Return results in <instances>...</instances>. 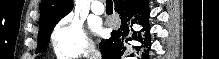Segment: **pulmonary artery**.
I'll return each instance as SVG.
<instances>
[{"instance_id": "obj_1", "label": "pulmonary artery", "mask_w": 219, "mask_h": 59, "mask_svg": "<svg viewBox=\"0 0 219 59\" xmlns=\"http://www.w3.org/2000/svg\"><path fill=\"white\" fill-rule=\"evenodd\" d=\"M91 10L93 13L97 15H101L105 12V7L103 5V2L100 0H95L91 4Z\"/></svg>"}]
</instances>
